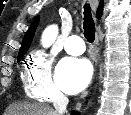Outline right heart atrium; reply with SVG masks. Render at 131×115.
<instances>
[{"label":"right heart atrium","mask_w":131,"mask_h":115,"mask_svg":"<svg viewBox=\"0 0 131 115\" xmlns=\"http://www.w3.org/2000/svg\"><path fill=\"white\" fill-rule=\"evenodd\" d=\"M52 65L51 56L43 50H36L29 55L23 74V85L30 98L45 103L63 98V93L53 81Z\"/></svg>","instance_id":"d8ad5b80"}]
</instances>
